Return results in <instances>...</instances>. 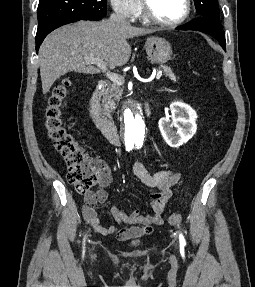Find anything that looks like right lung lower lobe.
Returning a JSON list of instances; mask_svg holds the SVG:
<instances>
[{
    "label": "right lung lower lobe",
    "instance_id": "obj_1",
    "mask_svg": "<svg viewBox=\"0 0 255 287\" xmlns=\"http://www.w3.org/2000/svg\"><path fill=\"white\" fill-rule=\"evenodd\" d=\"M79 20H84V19H80V18H64V19H60L57 21H53L50 23H46L43 25L38 26L37 29V34H36V52L38 53L39 50V46L41 45L42 41L44 40V38L54 29L68 24V23H72V22H76Z\"/></svg>",
    "mask_w": 255,
    "mask_h": 287
}]
</instances>
